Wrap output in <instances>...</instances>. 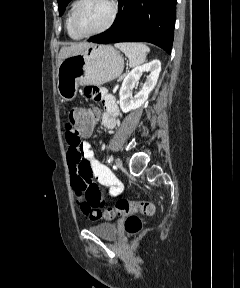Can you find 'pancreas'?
Returning <instances> with one entry per match:
<instances>
[{"label":"pancreas","mask_w":240,"mask_h":288,"mask_svg":"<svg viewBox=\"0 0 240 288\" xmlns=\"http://www.w3.org/2000/svg\"><path fill=\"white\" fill-rule=\"evenodd\" d=\"M123 77H124V75H123V76H121V77H119V80H122V79H123Z\"/></svg>","instance_id":"cf45deb5"}]
</instances>
